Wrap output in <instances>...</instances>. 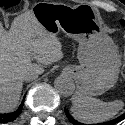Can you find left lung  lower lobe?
I'll return each mask as SVG.
<instances>
[{"label": "left lung lower lobe", "mask_w": 125, "mask_h": 125, "mask_svg": "<svg viewBox=\"0 0 125 125\" xmlns=\"http://www.w3.org/2000/svg\"><path fill=\"white\" fill-rule=\"evenodd\" d=\"M65 112H66V116L67 118L69 119V121L73 124V125H86V124H82L78 121H76L69 113V111L67 109H65ZM125 118V113L122 114L121 116L111 120V121H108V122H104V123H100V124H95V125H114L115 123L123 120Z\"/></svg>", "instance_id": "1"}]
</instances>
